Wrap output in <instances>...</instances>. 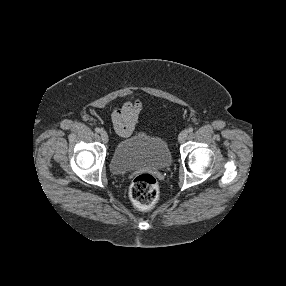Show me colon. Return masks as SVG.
<instances>
[{
	"mask_svg": "<svg viewBox=\"0 0 286 286\" xmlns=\"http://www.w3.org/2000/svg\"><path fill=\"white\" fill-rule=\"evenodd\" d=\"M159 196V186L156 179L148 174L137 175L130 186V198L141 209L152 207Z\"/></svg>",
	"mask_w": 286,
	"mask_h": 286,
	"instance_id": "5ec220e1",
	"label": "colon"
}]
</instances>
